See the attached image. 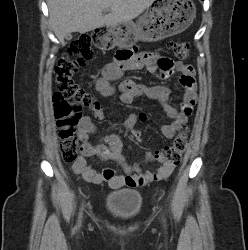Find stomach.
I'll list each match as a JSON object with an SVG mask.
<instances>
[{"instance_id":"stomach-1","label":"stomach","mask_w":248,"mask_h":250,"mask_svg":"<svg viewBox=\"0 0 248 250\" xmlns=\"http://www.w3.org/2000/svg\"><path fill=\"white\" fill-rule=\"evenodd\" d=\"M196 16L192 0H155V5L133 21L106 26L103 48H130L137 41L156 42L181 33Z\"/></svg>"}]
</instances>
